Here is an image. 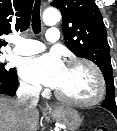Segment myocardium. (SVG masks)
<instances>
[{
	"label": "myocardium",
	"mask_w": 117,
	"mask_h": 131,
	"mask_svg": "<svg viewBox=\"0 0 117 131\" xmlns=\"http://www.w3.org/2000/svg\"><path fill=\"white\" fill-rule=\"evenodd\" d=\"M76 65L84 66L93 73V75L95 76L96 82H97L96 95L92 99H89V100H76V99L66 97L62 93H60L58 90H55V96L60 101L66 103V104H69V105H73V106H77V107H84V108L93 107V106L99 104L105 96L106 85H105L104 77H103L100 69L94 63H92L88 60L71 59L67 62V66H76Z\"/></svg>",
	"instance_id": "1"
}]
</instances>
